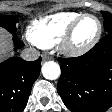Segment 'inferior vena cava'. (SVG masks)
Here are the masks:
<instances>
[{"label":"inferior vena cava","mask_w":112,"mask_h":112,"mask_svg":"<svg viewBox=\"0 0 112 112\" xmlns=\"http://www.w3.org/2000/svg\"><path fill=\"white\" fill-rule=\"evenodd\" d=\"M40 56V53L34 48L24 49L21 53V58L26 61L37 60Z\"/></svg>","instance_id":"1"}]
</instances>
